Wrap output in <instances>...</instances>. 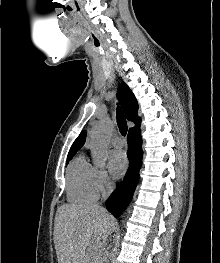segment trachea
<instances>
[{
  "instance_id": "3493384b",
  "label": "trachea",
  "mask_w": 220,
  "mask_h": 263,
  "mask_svg": "<svg viewBox=\"0 0 220 263\" xmlns=\"http://www.w3.org/2000/svg\"><path fill=\"white\" fill-rule=\"evenodd\" d=\"M117 124L120 133L125 136L127 134V121L120 107H117Z\"/></svg>"
}]
</instances>
